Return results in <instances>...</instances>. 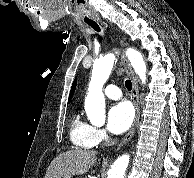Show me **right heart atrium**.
Listing matches in <instances>:
<instances>
[{
	"instance_id": "d8ad5b80",
	"label": "right heart atrium",
	"mask_w": 194,
	"mask_h": 178,
	"mask_svg": "<svg viewBox=\"0 0 194 178\" xmlns=\"http://www.w3.org/2000/svg\"><path fill=\"white\" fill-rule=\"evenodd\" d=\"M92 142L94 145L102 144L109 141V136L105 129L93 127L92 128V135H91Z\"/></svg>"
}]
</instances>
